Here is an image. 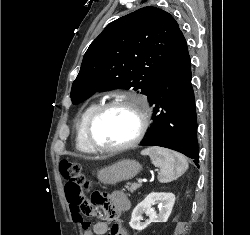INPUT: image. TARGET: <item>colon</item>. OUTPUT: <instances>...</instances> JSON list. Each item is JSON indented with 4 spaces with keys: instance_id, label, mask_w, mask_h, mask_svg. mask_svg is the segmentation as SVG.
<instances>
[{
    "instance_id": "5ec220e1",
    "label": "colon",
    "mask_w": 250,
    "mask_h": 235,
    "mask_svg": "<svg viewBox=\"0 0 250 235\" xmlns=\"http://www.w3.org/2000/svg\"><path fill=\"white\" fill-rule=\"evenodd\" d=\"M60 172L66 182L65 191L68 201L72 204H83L84 194L90 189L91 181L83 174L81 163L77 160H62ZM90 201L93 206H97L103 203L105 198L101 192L93 191Z\"/></svg>"
}]
</instances>
